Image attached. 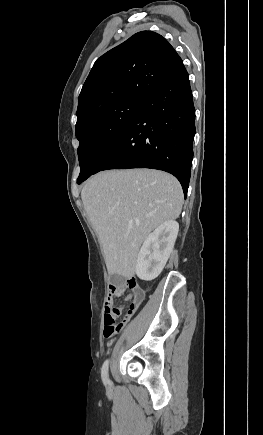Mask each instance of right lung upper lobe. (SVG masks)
<instances>
[{
  "label": "right lung upper lobe",
  "instance_id": "right-lung-upper-lobe-1",
  "mask_svg": "<svg viewBox=\"0 0 263 435\" xmlns=\"http://www.w3.org/2000/svg\"><path fill=\"white\" fill-rule=\"evenodd\" d=\"M183 67L164 37L152 31L134 34L94 63L79 95L76 127L108 103L144 101Z\"/></svg>",
  "mask_w": 263,
  "mask_h": 435
}]
</instances>
